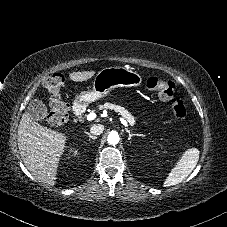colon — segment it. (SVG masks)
Masks as SVG:
<instances>
[{"mask_svg": "<svg viewBox=\"0 0 227 227\" xmlns=\"http://www.w3.org/2000/svg\"><path fill=\"white\" fill-rule=\"evenodd\" d=\"M65 83V78L61 73L50 75L44 82L46 89L50 92V113L47 123L50 127H58L68 120V106L60 96V91ZM146 87L157 94L163 101L171 102V113L174 118L184 120L187 111L184 103L175 98L176 86L170 80H163L156 76H151L145 80Z\"/></svg>", "mask_w": 227, "mask_h": 227, "instance_id": "1", "label": "colon"}]
</instances>
